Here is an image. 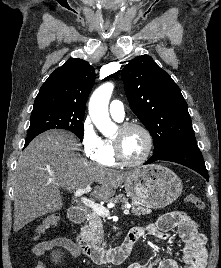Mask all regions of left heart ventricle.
Returning <instances> with one entry per match:
<instances>
[{
  "label": "left heart ventricle",
  "mask_w": 221,
  "mask_h": 268,
  "mask_svg": "<svg viewBox=\"0 0 221 268\" xmlns=\"http://www.w3.org/2000/svg\"><path fill=\"white\" fill-rule=\"evenodd\" d=\"M113 139L119 143L122 154L129 160L140 158L146 148L145 135L138 129H118Z\"/></svg>",
  "instance_id": "1"
}]
</instances>
